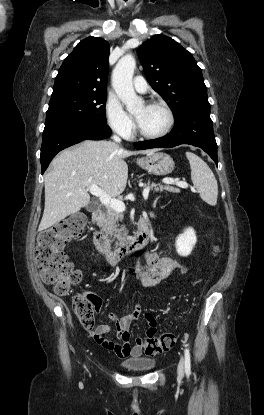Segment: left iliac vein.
I'll use <instances>...</instances> for the list:
<instances>
[{"mask_svg":"<svg viewBox=\"0 0 264 415\" xmlns=\"http://www.w3.org/2000/svg\"><path fill=\"white\" fill-rule=\"evenodd\" d=\"M178 375L180 378L184 376V359L182 357L178 364Z\"/></svg>","mask_w":264,"mask_h":415,"instance_id":"left-iliac-vein-1","label":"left iliac vein"}]
</instances>
